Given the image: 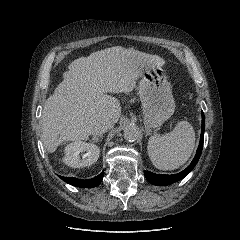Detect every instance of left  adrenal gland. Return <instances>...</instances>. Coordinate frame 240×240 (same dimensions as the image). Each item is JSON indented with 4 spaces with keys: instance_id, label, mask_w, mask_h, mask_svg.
<instances>
[{
    "instance_id": "a2214340",
    "label": "left adrenal gland",
    "mask_w": 240,
    "mask_h": 240,
    "mask_svg": "<svg viewBox=\"0 0 240 240\" xmlns=\"http://www.w3.org/2000/svg\"><path fill=\"white\" fill-rule=\"evenodd\" d=\"M146 134H150V129L148 127H146Z\"/></svg>"
}]
</instances>
